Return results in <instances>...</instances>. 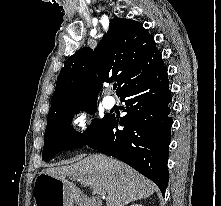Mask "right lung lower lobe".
Here are the masks:
<instances>
[{
  "instance_id": "98d812e1",
  "label": "right lung lower lobe",
  "mask_w": 221,
  "mask_h": 206,
  "mask_svg": "<svg viewBox=\"0 0 221 206\" xmlns=\"http://www.w3.org/2000/svg\"><path fill=\"white\" fill-rule=\"evenodd\" d=\"M127 114L110 116L86 144L127 163L152 180L165 194L171 140V91L163 61L130 84L119 96ZM118 125L123 126L122 130Z\"/></svg>"
}]
</instances>
